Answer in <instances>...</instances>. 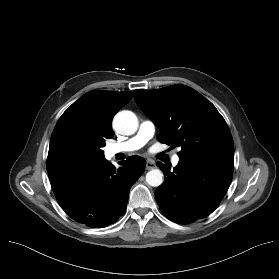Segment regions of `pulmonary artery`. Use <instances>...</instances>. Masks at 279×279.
<instances>
[{"instance_id":"pulmonary-artery-1","label":"pulmonary artery","mask_w":279,"mask_h":279,"mask_svg":"<svg viewBox=\"0 0 279 279\" xmlns=\"http://www.w3.org/2000/svg\"><path fill=\"white\" fill-rule=\"evenodd\" d=\"M155 133V124L151 120H144L141 122L138 132L131 138L118 143H113L107 146V156L113 157L119 153H127L142 148ZM179 156L177 154L172 156V164L176 166L179 163Z\"/></svg>"}]
</instances>
